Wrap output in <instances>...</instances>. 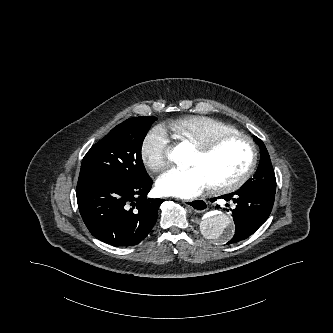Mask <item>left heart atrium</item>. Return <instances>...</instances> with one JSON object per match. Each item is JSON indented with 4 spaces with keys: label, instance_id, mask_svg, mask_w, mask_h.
Here are the masks:
<instances>
[{
    "label": "left heart atrium",
    "instance_id": "39dd6f15",
    "mask_svg": "<svg viewBox=\"0 0 333 333\" xmlns=\"http://www.w3.org/2000/svg\"><path fill=\"white\" fill-rule=\"evenodd\" d=\"M211 186L205 173L197 166L173 168L157 180V188L164 195L193 198Z\"/></svg>",
    "mask_w": 333,
    "mask_h": 333
}]
</instances>
